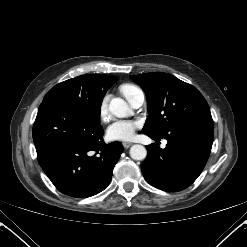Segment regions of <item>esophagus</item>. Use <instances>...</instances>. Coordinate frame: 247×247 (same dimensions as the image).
<instances>
[{"mask_svg":"<svg viewBox=\"0 0 247 247\" xmlns=\"http://www.w3.org/2000/svg\"><path fill=\"white\" fill-rule=\"evenodd\" d=\"M122 145H123V147L125 149H128L132 145V143H130V142H123Z\"/></svg>","mask_w":247,"mask_h":247,"instance_id":"obj_1","label":"esophagus"}]
</instances>
